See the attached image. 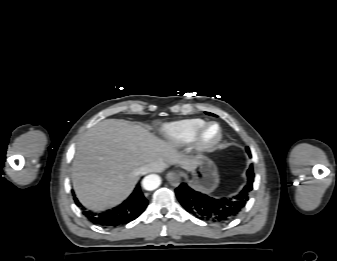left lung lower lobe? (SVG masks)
Segmentation results:
<instances>
[{
  "instance_id": "obj_1",
  "label": "left lung lower lobe",
  "mask_w": 337,
  "mask_h": 261,
  "mask_svg": "<svg viewBox=\"0 0 337 261\" xmlns=\"http://www.w3.org/2000/svg\"><path fill=\"white\" fill-rule=\"evenodd\" d=\"M247 183L235 196L216 199L191 189L182 183L176 188V196L181 205L195 217L216 223H225L237 217L244 209L253 189L254 172L252 165L247 171Z\"/></svg>"
}]
</instances>
